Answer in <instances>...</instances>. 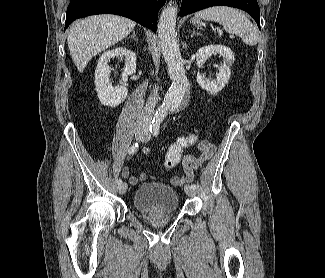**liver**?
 <instances>
[{
    "instance_id": "obj_1",
    "label": "liver",
    "mask_w": 325,
    "mask_h": 278,
    "mask_svg": "<svg viewBox=\"0 0 325 278\" xmlns=\"http://www.w3.org/2000/svg\"><path fill=\"white\" fill-rule=\"evenodd\" d=\"M136 23L118 15H94L74 23L67 32L68 48L82 73L92 57L133 31Z\"/></svg>"
}]
</instances>
